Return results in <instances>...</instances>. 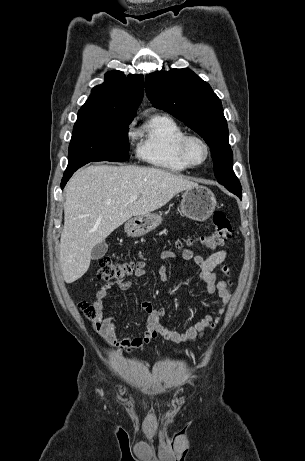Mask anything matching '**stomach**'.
<instances>
[{"label":"stomach","instance_id":"stomach-1","mask_svg":"<svg viewBox=\"0 0 305 461\" xmlns=\"http://www.w3.org/2000/svg\"><path fill=\"white\" fill-rule=\"evenodd\" d=\"M216 205V198L210 189L196 186L183 192L180 212L192 220L205 221L212 215ZM161 222V216L156 213L135 216L126 222L124 230L128 236L139 237L157 228Z\"/></svg>","mask_w":305,"mask_h":461}]
</instances>
